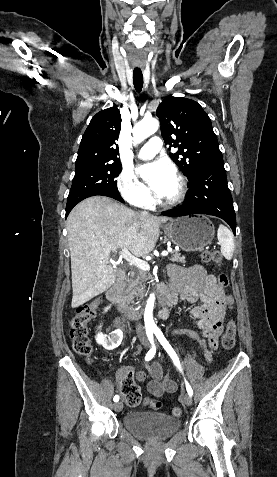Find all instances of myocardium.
Here are the masks:
<instances>
[{"label": "myocardium", "instance_id": "myocardium-1", "mask_svg": "<svg viewBox=\"0 0 277 477\" xmlns=\"http://www.w3.org/2000/svg\"><path fill=\"white\" fill-rule=\"evenodd\" d=\"M176 180L178 182V193L172 199L161 200V206L171 208L181 204L184 201L188 190L186 179L181 175H177Z\"/></svg>", "mask_w": 277, "mask_h": 477}]
</instances>
